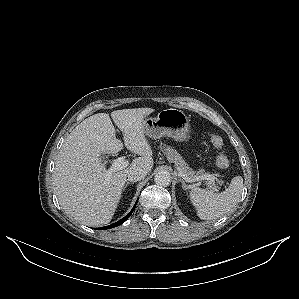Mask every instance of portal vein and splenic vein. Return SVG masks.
I'll list each match as a JSON object with an SVG mask.
<instances>
[{"label":"portal vein and splenic vein","mask_w":299,"mask_h":299,"mask_svg":"<svg viewBox=\"0 0 299 299\" xmlns=\"http://www.w3.org/2000/svg\"><path fill=\"white\" fill-rule=\"evenodd\" d=\"M128 165H129L128 160L123 156L119 157L117 159H114L112 161V167L109 168V173L122 170V169L126 168ZM178 175L180 177H182L186 182H196V181H201V180H211V181L215 180V177L210 174H206V175L198 176V177H194V178H189L182 171H179Z\"/></svg>","instance_id":"1"}]
</instances>
